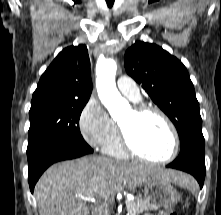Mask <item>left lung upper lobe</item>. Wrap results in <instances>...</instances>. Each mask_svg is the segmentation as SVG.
Wrapping results in <instances>:
<instances>
[{
  "mask_svg": "<svg viewBox=\"0 0 221 215\" xmlns=\"http://www.w3.org/2000/svg\"><path fill=\"white\" fill-rule=\"evenodd\" d=\"M125 69L171 119L181 149L189 142H205L194 86L180 60L158 45L139 41L126 51Z\"/></svg>",
  "mask_w": 221,
  "mask_h": 215,
  "instance_id": "left-lung-upper-lobe-1",
  "label": "left lung upper lobe"
}]
</instances>
